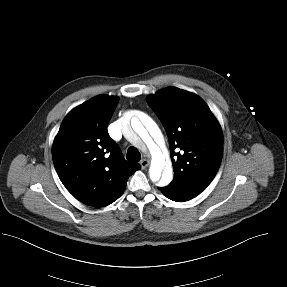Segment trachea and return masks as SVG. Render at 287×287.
I'll return each instance as SVG.
<instances>
[{
	"instance_id": "trachea-1",
	"label": "trachea",
	"mask_w": 287,
	"mask_h": 287,
	"mask_svg": "<svg viewBox=\"0 0 287 287\" xmlns=\"http://www.w3.org/2000/svg\"><path fill=\"white\" fill-rule=\"evenodd\" d=\"M127 160L137 162L141 159V154L135 147H129L127 150Z\"/></svg>"
}]
</instances>
